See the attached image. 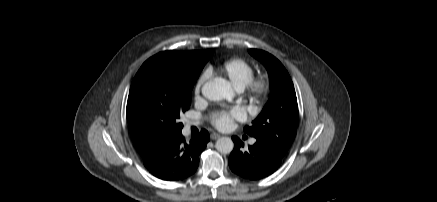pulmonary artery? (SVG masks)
<instances>
[{
    "label": "pulmonary artery",
    "mask_w": 437,
    "mask_h": 202,
    "mask_svg": "<svg viewBox=\"0 0 437 202\" xmlns=\"http://www.w3.org/2000/svg\"><path fill=\"white\" fill-rule=\"evenodd\" d=\"M191 125H197V122H188V126H191ZM254 141H252V143H253Z\"/></svg>",
    "instance_id": "1"
}]
</instances>
